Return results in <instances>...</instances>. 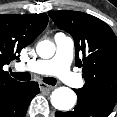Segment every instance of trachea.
<instances>
[{"label": "trachea", "instance_id": "3493384b", "mask_svg": "<svg viewBox=\"0 0 117 117\" xmlns=\"http://www.w3.org/2000/svg\"><path fill=\"white\" fill-rule=\"evenodd\" d=\"M11 75L20 81H29L31 80V74L29 72H11ZM43 81L49 85H56L57 80L53 77H45Z\"/></svg>", "mask_w": 117, "mask_h": 117}]
</instances>
